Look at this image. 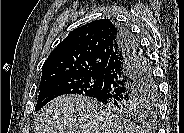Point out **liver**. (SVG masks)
<instances>
[{
	"label": "liver",
	"mask_w": 184,
	"mask_h": 133,
	"mask_svg": "<svg viewBox=\"0 0 184 133\" xmlns=\"http://www.w3.org/2000/svg\"><path fill=\"white\" fill-rule=\"evenodd\" d=\"M39 133H142L143 129L112 114L103 103L81 95L53 99L37 115Z\"/></svg>",
	"instance_id": "liver-1"
}]
</instances>
